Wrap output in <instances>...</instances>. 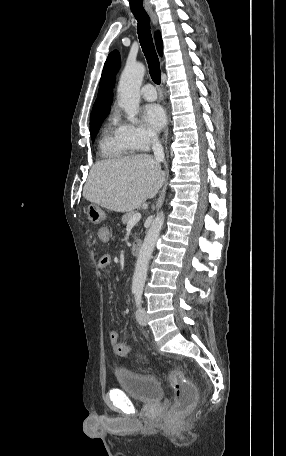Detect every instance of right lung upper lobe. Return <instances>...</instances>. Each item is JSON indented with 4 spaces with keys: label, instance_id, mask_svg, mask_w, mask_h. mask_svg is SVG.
<instances>
[{
    "label": "right lung upper lobe",
    "instance_id": "1",
    "mask_svg": "<svg viewBox=\"0 0 286 456\" xmlns=\"http://www.w3.org/2000/svg\"><path fill=\"white\" fill-rule=\"evenodd\" d=\"M155 41L158 53L162 56L163 43L159 31L155 32ZM120 63L121 60L118 51L111 52L108 55L100 79L98 96L90 114V121L109 113L113 96V84Z\"/></svg>",
    "mask_w": 286,
    "mask_h": 456
}]
</instances>
